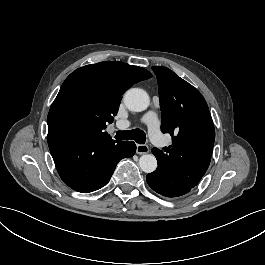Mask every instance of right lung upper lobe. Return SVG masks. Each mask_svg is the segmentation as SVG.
Listing matches in <instances>:
<instances>
[{
  "label": "right lung upper lobe",
  "instance_id": "obj_1",
  "mask_svg": "<svg viewBox=\"0 0 265 265\" xmlns=\"http://www.w3.org/2000/svg\"><path fill=\"white\" fill-rule=\"evenodd\" d=\"M150 77L152 74L146 69L119 61L86 65L66 78L51 108L67 100L88 102L97 109L90 135L106 137L109 135L103 130L106 123L113 122L123 93Z\"/></svg>",
  "mask_w": 265,
  "mask_h": 265
}]
</instances>
